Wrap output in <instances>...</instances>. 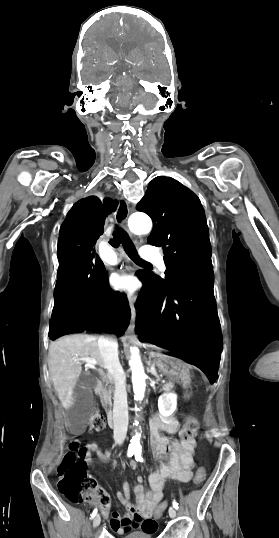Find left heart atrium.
I'll return each mask as SVG.
<instances>
[{"instance_id": "obj_1", "label": "left heart atrium", "mask_w": 279, "mask_h": 538, "mask_svg": "<svg viewBox=\"0 0 279 538\" xmlns=\"http://www.w3.org/2000/svg\"><path fill=\"white\" fill-rule=\"evenodd\" d=\"M109 282L117 293L131 294L136 288V279L130 274L113 273Z\"/></svg>"}]
</instances>
